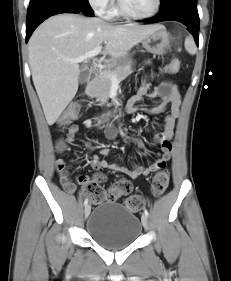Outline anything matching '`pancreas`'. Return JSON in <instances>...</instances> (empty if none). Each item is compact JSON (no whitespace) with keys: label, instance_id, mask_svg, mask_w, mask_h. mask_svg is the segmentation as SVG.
I'll list each match as a JSON object with an SVG mask.
<instances>
[{"label":"pancreas","instance_id":"cf45deb5","mask_svg":"<svg viewBox=\"0 0 231 281\" xmlns=\"http://www.w3.org/2000/svg\"><path fill=\"white\" fill-rule=\"evenodd\" d=\"M132 72L131 61H126L124 64L116 66L113 69H107L93 79L88 87V95L96 98L100 106L105 105L109 99L112 85L110 75H115L117 81L120 82L127 78Z\"/></svg>","mask_w":231,"mask_h":281}]
</instances>
